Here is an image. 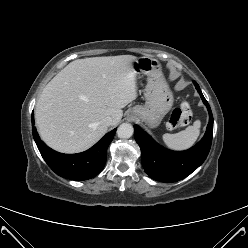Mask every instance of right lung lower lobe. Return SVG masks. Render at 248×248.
Wrapping results in <instances>:
<instances>
[{"label":"right lung lower lobe","instance_id":"1","mask_svg":"<svg viewBox=\"0 0 248 248\" xmlns=\"http://www.w3.org/2000/svg\"><path fill=\"white\" fill-rule=\"evenodd\" d=\"M32 126L34 140L45 162L56 174L71 180H87L101 172L106 163L107 148L116 133V129L110 131L82 153L63 154L52 150L40 140L34 127L33 112Z\"/></svg>","mask_w":248,"mask_h":248}]
</instances>
